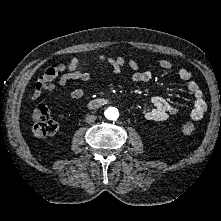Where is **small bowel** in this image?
I'll return each instance as SVG.
<instances>
[{
	"label": "small bowel",
	"instance_id": "obj_1",
	"mask_svg": "<svg viewBox=\"0 0 221 221\" xmlns=\"http://www.w3.org/2000/svg\"><path fill=\"white\" fill-rule=\"evenodd\" d=\"M109 60L111 61V59ZM158 66L166 71H169L173 68L172 62L168 59H160L158 61ZM129 67L132 70V81L137 83H145L152 80L153 74L150 71H140L139 65L135 60H129ZM112 68L115 73L119 72L118 67L112 66ZM61 70H64L63 65H61ZM177 74L178 77L186 83L188 91L193 96L192 107L189 112V116L191 119L199 121L203 118V115L207 108L204 99V93L199 85L192 79V74L188 69L184 67L179 68ZM73 80L89 82L91 80V74L88 71L79 67L77 70L63 74L59 80V85L65 86L68 82ZM38 83L39 80L37 81V84ZM41 93L42 90L38 89L36 85V89L32 94V99H38ZM85 95L86 90L84 88H75L70 92V98L73 100H81L85 97ZM143 113L144 116L149 120L165 121L171 117L178 115L179 109L163 97L156 96L149 100L147 105L143 108Z\"/></svg>",
	"mask_w": 221,
	"mask_h": 221
}]
</instances>
